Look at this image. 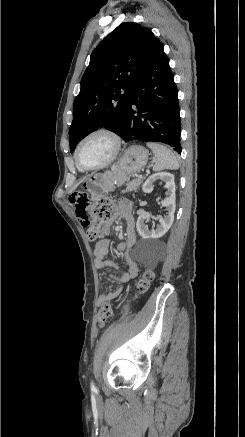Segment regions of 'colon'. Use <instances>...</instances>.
Returning <instances> with one entry per match:
<instances>
[{
    "instance_id": "obj_1",
    "label": "colon",
    "mask_w": 245,
    "mask_h": 437,
    "mask_svg": "<svg viewBox=\"0 0 245 437\" xmlns=\"http://www.w3.org/2000/svg\"><path fill=\"white\" fill-rule=\"evenodd\" d=\"M111 201L108 199H103L97 207L91 213V227L86 229L87 238L89 241H96L101 236V225L105 223L111 214ZM82 225V224H81ZM154 278V273L150 270H146L140 276L136 290L137 294L145 293L152 280ZM113 315V305L110 302L104 303L98 311L97 324L98 327L102 328L105 323L111 319Z\"/></svg>"
}]
</instances>
